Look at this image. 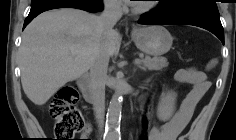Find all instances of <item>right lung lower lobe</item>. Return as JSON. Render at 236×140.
<instances>
[{
	"label": "right lung lower lobe",
	"mask_w": 236,
	"mask_h": 140,
	"mask_svg": "<svg viewBox=\"0 0 236 140\" xmlns=\"http://www.w3.org/2000/svg\"><path fill=\"white\" fill-rule=\"evenodd\" d=\"M64 7H70V8H77L82 9L88 12H98L103 9L102 3H100L99 6H92L87 3H84L80 0H54L49 1L45 3H41L35 6L31 7L30 13L25 19L24 26L25 28L37 15L40 13L51 10V9H57V8H64Z\"/></svg>",
	"instance_id": "right-lung-lower-lobe-1"
}]
</instances>
